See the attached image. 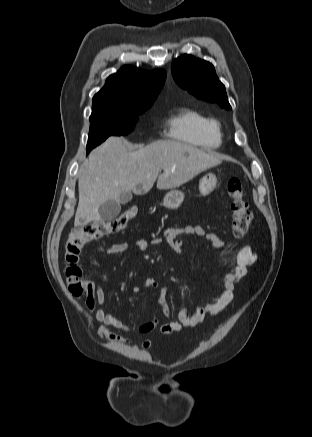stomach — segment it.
<instances>
[{
    "mask_svg": "<svg viewBox=\"0 0 312 437\" xmlns=\"http://www.w3.org/2000/svg\"><path fill=\"white\" fill-rule=\"evenodd\" d=\"M217 184V178L215 174L208 173L201 180L199 184V192L201 196L209 195ZM184 201L183 192L173 189L169 191L163 198L162 206L168 209H178Z\"/></svg>",
    "mask_w": 312,
    "mask_h": 437,
    "instance_id": "1",
    "label": "stomach"
}]
</instances>
